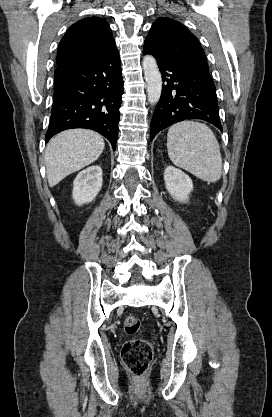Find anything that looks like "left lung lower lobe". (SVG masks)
I'll return each instance as SVG.
<instances>
[{
    "instance_id": "0a47b994",
    "label": "left lung lower lobe",
    "mask_w": 272,
    "mask_h": 417,
    "mask_svg": "<svg viewBox=\"0 0 272 417\" xmlns=\"http://www.w3.org/2000/svg\"><path fill=\"white\" fill-rule=\"evenodd\" d=\"M155 58L165 84L150 124L151 140L164 128L189 119H201L222 130L209 70L175 58Z\"/></svg>"
}]
</instances>
